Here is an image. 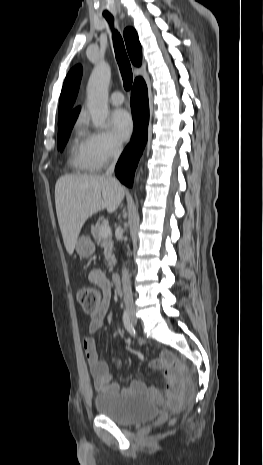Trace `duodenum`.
Returning a JSON list of instances; mask_svg holds the SVG:
<instances>
[{"instance_id":"obj_1","label":"duodenum","mask_w":263,"mask_h":465,"mask_svg":"<svg viewBox=\"0 0 263 465\" xmlns=\"http://www.w3.org/2000/svg\"><path fill=\"white\" fill-rule=\"evenodd\" d=\"M112 280H113L116 291L118 293H121V291H122V289H121V279H120L119 274L114 273L113 276H112Z\"/></svg>"}]
</instances>
